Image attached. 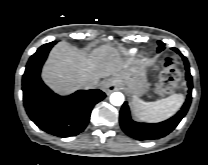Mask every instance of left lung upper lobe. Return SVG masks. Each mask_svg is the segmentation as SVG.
<instances>
[{
	"mask_svg": "<svg viewBox=\"0 0 208 165\" xmlns=\"http://www.w3.org/2000/svg\"><path fill=\"white\" fill-rule=\"evenodd\" d=\"M159 47H158V52L162 51L164 49V43L161 41H158Z\"/></svg>",
	"mask_w": 208,
	"mask_h": 165,
	"instance_id": "5c2ea615",
	"label": "left lung upper lobe"
}]
</instances>
